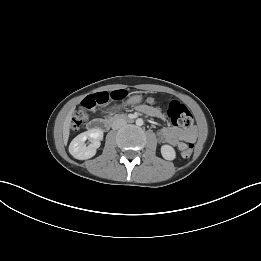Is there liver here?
<instances>
[{"instance_id":"1","label":"liver","mask_w":261,"mask_h":261,"mask_svg":"<svg viewBox=\"0 0 261 261\" xmlns=\"http://www.w3.org/2000/svg\"><path fill=\"white\" fill-rule=\"evenodd\" d=\"M74 108H72L69 113L67 114L65 121L63 123V142L64 144H67L68 138H69V132H70V125L72 121V114H73Z\"/></svg>"}]
</instances>
